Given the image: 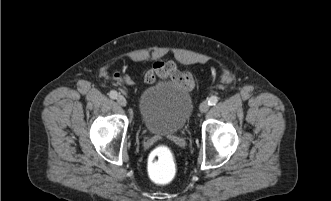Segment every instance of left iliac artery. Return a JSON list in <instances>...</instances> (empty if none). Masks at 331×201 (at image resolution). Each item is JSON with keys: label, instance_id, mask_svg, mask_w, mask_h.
Wrapping results in <instances>:
<instances>
[{"label": "left iliac artery", "instance_id": "left-iliac-artery-1", "mask_svg": "<svg viewBox=\"0 0 331 201\" xmlns=\"http://www.w3.org/2000/svg\"><path fill=\"white\" fill-rule=\"evenodd\" d=\"M217 102H218V97H217V96H212V97H210L209 100H208V104H209L210 106H214V105H216Z\"/></svg>", "mask_w": 331, "mask_h": 201}]
</instances>
